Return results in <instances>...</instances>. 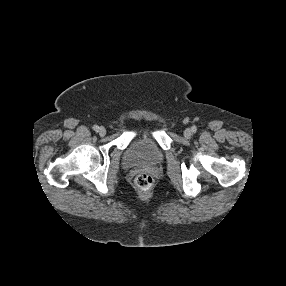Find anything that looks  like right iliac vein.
<instances>
[{
  "instance_id": "1",
  "label": "right iliac vein",
  "mask_w": 286,
  "mask_h": 286,
  "mask_svg": "<svg viewBox=\"0 0 286 286\" xmlns=\"http://www.w3.org/2000/svg\"><path fill=\"white\" fill-rule=\"evenodd\" d=\"M97 132L100 136H104L106 134V129L101 126L98 128Z\"/></svg>"
}]
</instances>
